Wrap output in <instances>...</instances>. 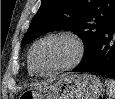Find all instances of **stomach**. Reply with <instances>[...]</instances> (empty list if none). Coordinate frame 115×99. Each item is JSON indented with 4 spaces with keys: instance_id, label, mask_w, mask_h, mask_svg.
<instances>
[{
    "instance_id": "stomach-1",
    "label": "stomach",
    "mask_w": 115,
    "mask_h": 99,
    "mask_svg": "<svg viewBox=\"0 0 115 99\" xmlns=\"http://www.w3.org/2000/svg\"><path fill=\"white\" fill-rule=\"evenodd\" d=\"M103 91L101 80L93 74H75L53 84L28 89L23 99H97Z\"/></svg>"
}]
</instances>
